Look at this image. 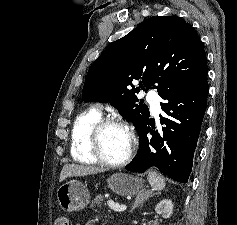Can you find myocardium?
Returning a JSON list of instances; mask_svg holds the SVG:
<instances>
[{
	"mask_svg": "<svg viewBox=\"0 0 237 225\" xmlns=\"http://www.w3.org/2000/svg\"><path fill=\"white\" fill-rule=\"evenodd\" d=\"M109 126H118L123 128L130 137V148L128 150L127 155L121 161H110L104 156L102 152L101 135L104 129ZM89 146L92 155L99 163L111 168H120L126 166L132 160L137 147V138L132 127L126 122L111 117L100 118L92 126L89 132Z\"/></svg>",
	"mask_w": 237,
	"mask_h": 225,
	"instance_id": "1",
	"label": "myocardium"
}]
</instances>
